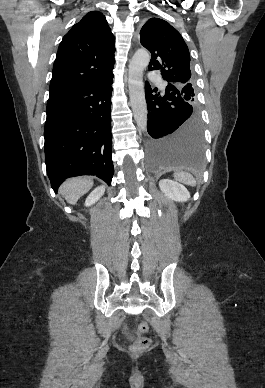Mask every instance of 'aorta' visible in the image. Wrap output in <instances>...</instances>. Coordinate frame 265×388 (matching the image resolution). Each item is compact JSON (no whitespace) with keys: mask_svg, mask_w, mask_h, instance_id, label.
<instances>
[{"mask_svg":"<svg viewBox=\"0 0 265 388\" xmlns=\"http://www.w3.org/2000/svg\"><path fill=\"white\" fill-rule=\"evenodd\" d=\"M150 62L149 53L144 50H138L132 57L129 64L128 86L131 107L134 119L141 131L147 129V105L143 84V71Z\"/></svg>","mask_w":265,"mask_h":388,"instance_id":"obj_1","label":"aorta"}]
</instances>
